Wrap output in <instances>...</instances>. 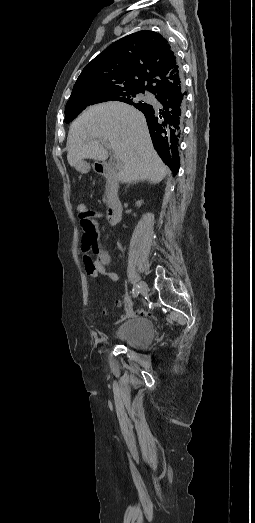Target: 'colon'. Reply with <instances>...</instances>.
I'll return each mask as SVG.
<instances>
[{
    "mask_svg": "<svg viewBox=\"0 0 255 523\" xmlns=\"http://www.w3.org/2000/svg\"><path fill=\"white\" fill-rule=\"evenodd\" d=\"M76 211H77V214H78V218L80 219L81 222H88V221H90V219H91V211L88 208V205L86 203H84V202L78 203L76 205ZM124 303L126 305H128V301L127 300H124ZM138 313L139 314H144V312L141 311V310H138Z\"/></svg>",
    "mask_w": 255,
    "mask_h": 523,
    "instance_id": "1",
    "label": "colon"
}]
</instances>
